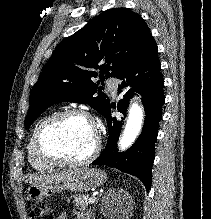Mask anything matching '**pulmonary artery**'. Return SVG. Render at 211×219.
<instances>
[{"mask_svg": "<svg viewBox=\"0 0 211 219\" xmlns=\"http://www.w3.org/2000/svg\"><path fill=\"white\" fill-rule=\"evenodd\" d=\"M107 87L113 95H116L118 83L115 79H109L107 81Z\"/></svg>", "mask_w": 211, "mask_h": 219, "instance_id": "1", "label": "pulmonary artery"}]
</instances>
